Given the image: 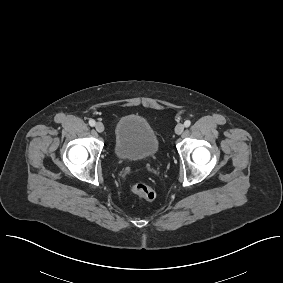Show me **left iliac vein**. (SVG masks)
Returning <instances> with one entry per match:
<instances>
[{
  "label": "left iliac vein",
  "instance_id": "4c4485c4",
  "mask_svg": "<svg viewBox=\"0 0 283 283\" xmlns=\"http://www.w3.org/2000/svg\"><path fill=\"white\" fill-rule=\"evenodd\" d=\"M184 131V125L179 123L175 127V133L180 135Z\"/></svg>",
  "mask_w": 283,
  "mask_h": 283
}]
</instances>
